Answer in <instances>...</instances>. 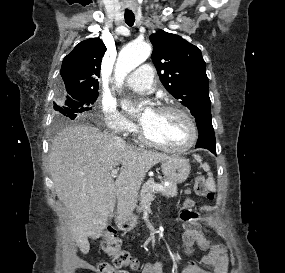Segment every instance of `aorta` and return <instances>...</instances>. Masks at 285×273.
<instances>
[{"mask_svg": "<svg viewBox=\"0 0 285 273\" xmlns=\"http://www.w3.org/2000/svg\"><path fill=\"white\" fill-rule=\"evenodd\" d=\"M150 53L151 46L147 42H133L125 46L119 54L115 68L118 85L133 69L146 61Z\"/></svg>", "mask_w": 285, "mask_h": 273, "instance_id": "aorta-1", "label": "aorta"}]
</instances>
